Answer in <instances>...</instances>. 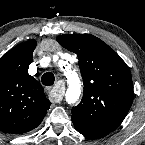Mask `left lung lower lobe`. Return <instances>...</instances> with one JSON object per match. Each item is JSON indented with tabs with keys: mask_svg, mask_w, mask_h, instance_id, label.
Here are the masks:
<instances>
[{
	"mask_svg": "<svg viewBox=\"0 0 145 145\" xmlns=\"http://www.w3.org/2000/svg\"><path fill=\"white\" fill-rule=\"evenodd\" d=\"M74 126L79 133H81L82 135H84L85 137L90 138V139H99V138L105 137L107 135L104 133L90 130L88 128L82 127L75 123H74Z\"/></svg>",
	"mask_w": 145,
	"mask_h": 145,
	"instance_id": "left-lung-lower-lobe-1",
	"label": "left lung lower lobe"
}]
</instances>
